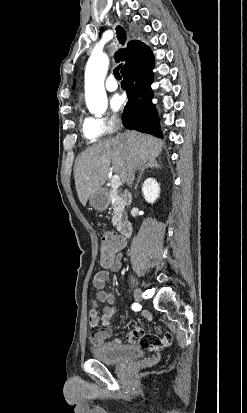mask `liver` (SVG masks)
<instances>
[{"label": "liver", "instance_id": "obj_1", "mask_svg": "<svg viewBox=\"0 0 247 413\" xmlns=\"http://www.w3.org/2000/svg\"><path fill=\"white\" fill-rule=\"evenodd\" d=\"M164 142L151 134H142L137 130H125L122 138H103L93 146H87L77 156L74 168L75 186L78 198L84 207L95 190H100L106 182L110 164L112 170L119 174L121 182H125L127 162L131 160L137 168L159 156Z\"/></svg>", "mask_w": 247, "mask_h": 413}]
</instances>
